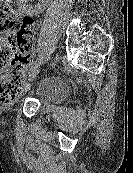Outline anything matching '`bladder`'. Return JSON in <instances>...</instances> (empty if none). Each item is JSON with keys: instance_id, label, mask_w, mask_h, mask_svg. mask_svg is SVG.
Returning <instances> with one entry per match:
<instances>
[{"instance_id": "bladder-1", "label": "bladder", "mask_w": 133, "mask_h": 173, "mask_svg": "<svg viewBox=\"0 0 133 173\" xmlns=\"http://www.w3.org/2000/svg\"><path fill=\"white\" fill-rule=\"evenodd\" d=\"M67 95L65 83L57 76L42 78L33 90V97L48 107L59 105Z\"/></svg>"}]
</instances>
